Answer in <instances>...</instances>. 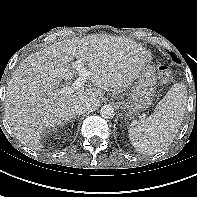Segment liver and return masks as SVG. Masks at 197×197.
I'll return each mask as SVG.
<instances>
[{"mask_svg":"<svg viewBox=\"0 0 197 197\" xmlns=\"http://www.w3.org/2000/svg\"><path fill=\"white\" fill-rule=\"evenodd\" d=\"M74 58L84 60L90 84L55 96L60 81L74 78ZM151 59V53L134 40L107 34L54 43L27 57L13 73L5 98L6 120L22 144L38 151L46 128L75 118L78 100L87 99L96 107L105 91L122 93Z\"/></svg>","mask_w":197,"mask_h":197,"instance_id":"1","label":"liver"}]
</instances>
